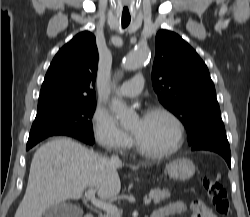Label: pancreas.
<instances>
[{"label":"pancreas","mask_w":250,"mask_h":217,"mask_svg":"<svg viewBox=\"0 0 250 217\" xmlns=\"http://www.w3.org/2000/svg\"><path fill=\"white\" fill-rule=\"evenodd\" d=\"M171 195L168 189H153L150 191L149 197L154 200L155 204H159L161 201L169 198ZM99 217H120L119 213H109L101 214Z\"/></svg>","instance_id":"1"}]
</instances>
